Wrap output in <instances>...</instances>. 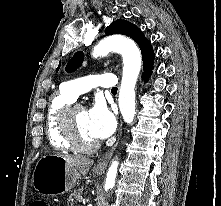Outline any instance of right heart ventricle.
Here are the masks:
<instances>
[{
    "label": "right heart ventricle",
    "instance_id": "obj_1",
    "mask_svg": "<svg viewBox=\"0 0 221 206\" xmlns=\"http://www.w3.org/2000/svg\"><path fill=\"white\" fill-rule=\"evenodd\" d=\"M74 99L63 89L54 94L50 100L46 115V133L50 145L57 150L72 151L74 148L65 137L60 118L63 109Z\"/></svg>",
    "mask_w": 221,
    "mask_h": 206
}]
</instances>
